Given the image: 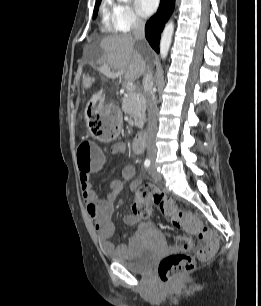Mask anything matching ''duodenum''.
<instances>
[{
  "label": "duodenum",
  "instance_id": "410a0bca",
  "mask_svg": "<svg viewBox=\"0 0 261 306\" xmlns=\"http://www.w3.org/2000/svg\"><path fill=\"white\" fill-rule=\"evenodd\" d=\"M146 145V132H139L132 141V149L135 153H141Z\"/></svg>",
  "mask_w": 261,
  "mask_h": 306
}]
</instances>
